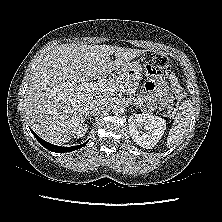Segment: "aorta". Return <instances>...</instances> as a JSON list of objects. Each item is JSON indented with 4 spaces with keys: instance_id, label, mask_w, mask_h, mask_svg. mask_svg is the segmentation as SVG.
Returning a JSON list of instances; mask_svg holds the SVG:
<instances>
[{
    "instance_id": "762f6f07",
    "label": "aorta",
    "mask_w": 222,
    "mask_h": 222,
    "mask_svg": "<svg viewBox=\"0 0 222 222\" xmlns=\"http://www.w3.org/2000/svg\"><path fill=\"white\" fill-rule=\"evenodd\" d=\"M124 110H125V106H124L122 103H120V102H116V103L112 106V112H113L114 114H116V115L123 113Z\"/></svg>"
}]
</instances>
